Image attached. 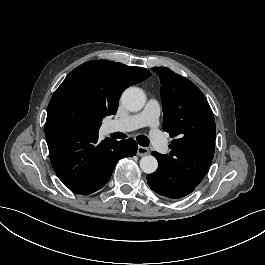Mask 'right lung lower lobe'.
Here are the masks:
<instances>
[{
    "mask_svg": "<svg viewBox=\"0 0 265 265\" xmlns=\"http://www.w3.org/2000/svg\"><path fill=\"white\" fill-rule=\"evenodd\" d=\"M45 137L57 176L70 190L83 195L102 188L117 161L137 152V143L132 138L98 141V132L63 126H45Z\"/></svg>",
    "mask_w": 265,
    "mask_h": 265,
    "instance_id": "obj_1",
    "label": "right lung lower lobe"
}]
</instances>
